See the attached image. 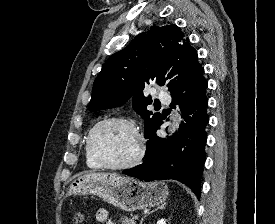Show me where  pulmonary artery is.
Listing matches in <instances>:
<instances>
[{"label": "pulmonary artery", "instance_id": "pulmonary-artery-1", "mask_svg": "<svg viewBox=\"0 0 275 224\" xmlns=\"http://www.w3.org/2000/svg\"><path fill=\"white\" fill-rule=\"evenodd\" d=\"M158 99L161 101V102H164V103H167L170 101V95L164 91V90H160L158 92Z\"/></svg>", "mask_w": 275, "mask_h": 224}]
</instances>
